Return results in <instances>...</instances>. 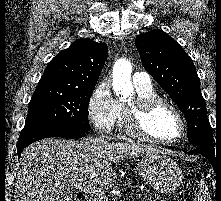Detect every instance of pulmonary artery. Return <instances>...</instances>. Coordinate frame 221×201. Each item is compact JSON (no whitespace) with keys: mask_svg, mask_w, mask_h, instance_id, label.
<instances>
[{"mask_svg":"<svg viewBox=\"0 0 221 201\" xmlns=\"http://www.w3.org/2000/svg\"><path fill=\"white\" fill-rule=\"evenodd\" d=\"M133 83L135 86H150L151 84V79L148 73L146 72H137L133 75Z\"/></svg>","mask_w":221,"mask_h":201,"instance_id":"pulmonary-artery-1","label":"pulmonary artery"}]
</instances>
